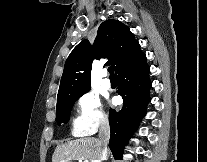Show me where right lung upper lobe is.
<instances>
[{"label":"right lung upper lobe","mask_w":207,"mask_h":162,"mask_svg":"<svg viewBox=\"0 0 207 162\" xmlns=\"http://www.w3.org/2000/svg\"><path fill=\"white\" fill-rule=\"evenodd\" d=\"M142 55L138 41L124 24L106 20L99 26L93 46L88 40H83L70 53L61 78L58 99L81 95L90 89L94 58L107 57V63L117 73Z\"/></svg>","instance_id":"right-lung-upper-lobe-1"}]
</instances>
